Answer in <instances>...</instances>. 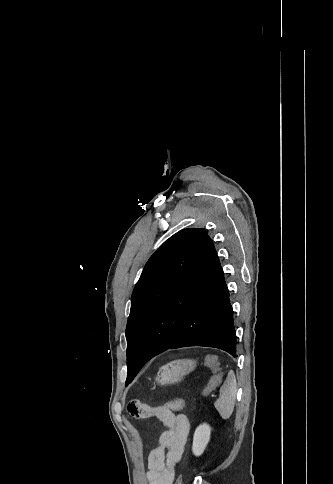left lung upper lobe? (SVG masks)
Returning <instances> with one entry per match:
<instances>
[{"label":"left lung upper lobe","instance_id":"obj_1","mask_svg":"<svg viewBox=\"0 0 333 484\" xmlns=\"http://www.w3.org/2000/svg\"><path fill=\"white\" fill-rule=\"evenodd\" d=\"M204 229H183L167 241L150 257L137 282L126 327L127 366L126 385L143 365L134 363V355L156 308L167 295L174 281L200 245L207 239ZM168 302L174 298L168 296ZM178 302H175V306Z\"/></svg>","mask_w":333,"mask_h":484}]
</instances>
